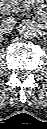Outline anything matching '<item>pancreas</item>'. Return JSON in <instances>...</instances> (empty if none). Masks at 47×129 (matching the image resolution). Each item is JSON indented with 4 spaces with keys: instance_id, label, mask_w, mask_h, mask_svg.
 <instances>
[{
    "instance_id": "cf45deb5",
    "label": "pancreas",
    "mask_w": 47,
    "mask_h": 129,
    "mask_svg": "<svg viewBox=\"0 0 47 129\" xmlns=\"http://www.w3.org/2000/svg\"><path fill=\"white\" fill-rule=\"evenodd\" d=\"M15 6V12H24L29 9L33 0H13Z\"/></svg>"
}]
</instances>
